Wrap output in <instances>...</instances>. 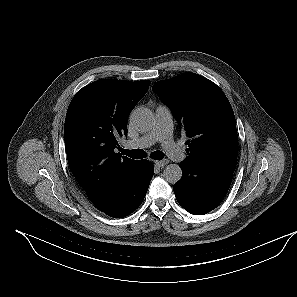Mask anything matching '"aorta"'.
<instances>
[{"label": "aorta", "mask_w": 297, "mask_h": 297, "mask_svg": "<svg viewBox=\"0 0 297 297\" xmlns=\"http://www.w3.org/2000/svg\"><path fill=\"white\" fill-rule=\"evenodd\" d=\"M130 121L137 130L146 131L153 124V114L147 108L138 107L131 112ZM163 177L167 182L175 184L182 178V170L178 164H169L164 169Z\"/></svg>", "instance_id": "aorta-1"}]
</instances>
